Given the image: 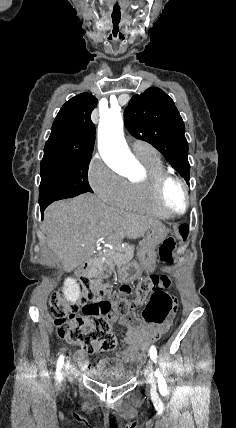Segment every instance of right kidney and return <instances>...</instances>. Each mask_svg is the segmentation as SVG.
I'll use <instances>...</instances> for the list:
<instances>
[{
	"mask_svg": "<svg viewBox=\"0 0 236 428\" xmlns=\"http://www.w3.org/2000/svg\"><path fill=\"white\" fill-rule=\"evenodd\" d=\"M63 292L67 302H76V300H79L81 294L76 280H72V278L66 280Z\"/></svg>",
	"mask_w": 236,
	"mask_h": 428,
	"instance_id": "ca27d5eb",
	"label": "right kidney"
}]
</instances>
